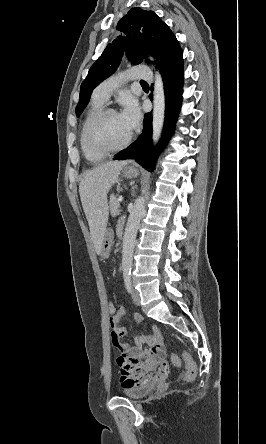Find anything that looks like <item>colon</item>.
Segmentation results:
<instances>
[{"mask_svg":"<svg viewBox=\"0 0 266 444\" xmlns=\"http://www.w3.org/2000/svg\"><path fill=\"white\" fill-rule=\"evenodd\" d=\"M107 311L110 316V320L117 314L116 304L109 301L107 304ZM183 360L185 363V374L184 378L187 382H192L197 377V366L191 355L187 352H183ZM171 361L174 366L179 367L181 365V360L177 354L171 355Z\"/></svg>","mask_w":266,"mask_h":444,"instance_id":"obj_1","label":"colon"}]
</instances>
